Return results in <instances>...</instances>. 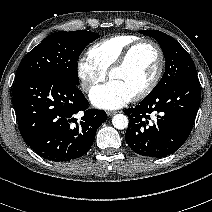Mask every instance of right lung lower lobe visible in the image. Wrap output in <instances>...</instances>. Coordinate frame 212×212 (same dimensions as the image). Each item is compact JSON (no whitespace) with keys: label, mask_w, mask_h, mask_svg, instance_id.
Returning a JSON list of instances; mask_svg holds the SVG:
<instances>
[{"label":"right lung lower lobe","mask_w":212,"mask_h":212,"mask_svg":"<svg viewBox=\"0 0 212 212\" xmlns=\"http://www.w3.org/2000/svg\"><path fill=\"white\" fill-rule=\"evenodd\" d=\"M13 105L25 142L43 158L66 162L83 156L107 115L88 109L77 86L51 75L15 80ZM82 112L77 119L76 114Z\"/></svg>","instance_id":"98d812e1"}]
</instances>
